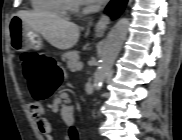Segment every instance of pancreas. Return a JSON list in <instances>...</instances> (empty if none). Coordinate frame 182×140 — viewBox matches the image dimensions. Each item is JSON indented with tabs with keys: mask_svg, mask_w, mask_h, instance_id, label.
Here are the masks:
<instances>
[{
	"mask_svg": "<svg viewBox=\"0 0 182 140\" xmlns=\"http://www.w3.org/2000/svg\"><path fill=\"white\" fill-rule=\"evenodd\" d=\"M78 52L77 51H71L63 55L62 59L67 62V67L72 70H77L78 65Z\"/></svg>",
	"mask_w": 182,
	"mask_h": 140,
	"instance_id": "1",
	"label": "pancreas"
}]
</instances>
